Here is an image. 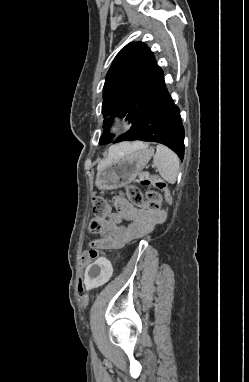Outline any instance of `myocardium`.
Returning <instances> with one entry per match:
<instances>
[{"label":"myocardium","mask_w":249,"mask_h":382,"mask_svg":"<svg viewBox=\"0 0 249 382\" xmlns=\"http://www.w3.org/2000/svg\"><path fill=\"white\" fill-rule=\"evenodd\" d=\"M120 128V121L117 118L112 119L107 126V131L109 133H115Z\"/></svg>","instance_id":"obj_1"}]
</instances>
